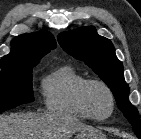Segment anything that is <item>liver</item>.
Segmentation results:
<instances>
[{
  "instance_id": "6515ba94",
  "label": "liver",
  "mask_w": 141,
  "mask_h": 139,
  "mask_svg": "<svg viewBox=\"0 0 141 139\" xmlns=\"http://www.w3.org/2000/svg\"><path fill=\"white\" fill-rule=\"evenodd\" d=\"M90 128L76 117L59 112L0 115V139H70Z\"/></svg>"
}]
</instances>
